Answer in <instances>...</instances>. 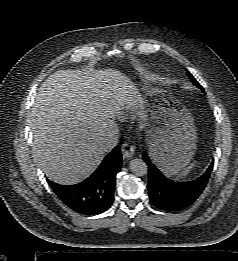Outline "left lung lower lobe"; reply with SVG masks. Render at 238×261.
Listing matches in <instances>:
<instances>
[{
    "mask_svg": "<svg viewBox=\"0 0 238 261\" xmlns=\"http://www.w3.org/2000/svg\"><path fill=\"white\" fill-rule=\"evenodd\" d=\"M148 164V193L151 203L165 211H180L191 205L202 193L213 170L214 160L198 178L182 182L167 178L150 160L143 155Z\"/></svg>",
    "mask_w": 238,
    "mask_h": 261,
    "instance_id": "1",
    "label": "left lung lower lobe"
}]
</instances>
